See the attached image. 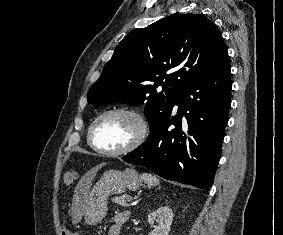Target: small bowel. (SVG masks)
<instances>
[{
    "mask_svg": "<svg viewBox=\"0 0 283 235\" xmlns=\"http://www.w3.org/2000/svg\"><path fill=\"white\" fill-rule=\"evenodd\" d=\"M129 216L130 214L127 211L117 213L113 217V221L108 229V235H120L122 226L128 221ZM72 235H78V234H72Z\"/></svg>",
    "mask_w": 283,
    "mask_h": 235,
    "instance_id": "c3829d8e",
    "label": "small bowel"
}]
</instances>
